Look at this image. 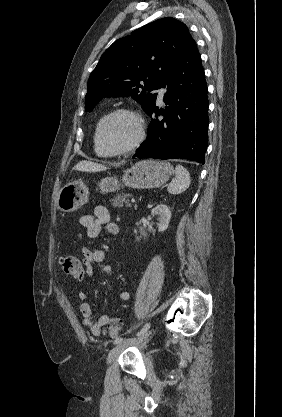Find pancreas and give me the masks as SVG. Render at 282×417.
I'll return each mask as SVG.
<instances>
[{"label": "pancreas", "instance_id": "cf45deb5", "mask_svg": "<svg viewBox=\"0 0 282 417\" xmlns=\"http://www.w3.org/2000/svg\"><path fill=\"white\" fill-rule=\"evenodd\" d=\"M130 196H132L130 192H127V194L120 192V194H116V196L111 198V204L112 206H131Z\"/></svg>", "mask_w": 282, "mask_h": 417}]
</instances>
